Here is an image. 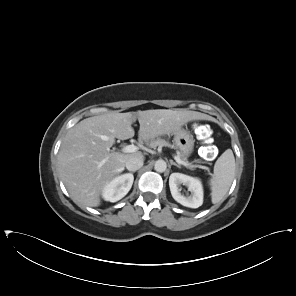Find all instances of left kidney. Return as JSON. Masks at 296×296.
Segmentation results:
<instances>
[{
	"instance_id": "obj_1",
	"label": "left kidney",
	"mask_w": 296,
	"mask_h": 296,
	"mask_svg": "<svg viewBox=\"0 0 296 296\" xmlns=\"http://www.w3.org/2000/svg\"><path fill=\"white\" fill-rule=\"evenodd\" d=\"M188 187L191 196H184L180 193V185ZM169 187L172 197L183 206L198 208L203 204V187L199 179L182 174L172 173L169 177Z\"/></svg>"
}]
</instances>
